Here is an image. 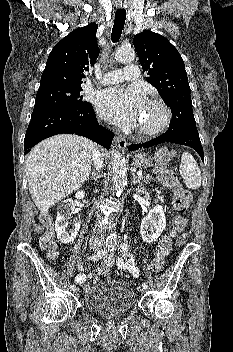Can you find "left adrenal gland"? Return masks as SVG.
Wrapping results in <instances>:
<instances>
[{"label":"left adrenal gland","instance_id":"1","mask_svg":"<svg viewBox=\"0 0 233 352\" xmlns=\"http://www.w3.org/2000/svg\"><path fill=\"white\" fill-rule=\"evenodd\" d=\"M132 177H133V179H132L133 184L141 183L135 173H132Z\"/></svg>","mask_w":233,"mask_h":352}]
</instances>
